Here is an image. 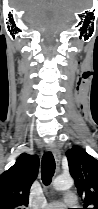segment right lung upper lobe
Here are the masks:
<instances>
[{"mask_svg":"<svg viewBox=\"0 0 98 209\" xmlns=\"http://www.w3.org/2000/svg\"><path fill=\"white\" fill-rule=\"evenodd\" d=\"M39 158L22 153L15 164L0 175V209H23L37 177Z\"/></svg>","mask_w":98,"mask_h":209,"instance_id":"1","label":"right lung upper lobe"}]
</instances>
